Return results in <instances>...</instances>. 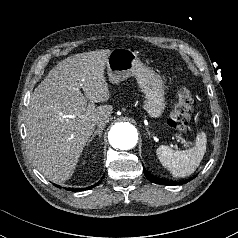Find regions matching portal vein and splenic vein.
I'll use <instances>...</instances> for the list:
<instances>
[{"instance_id":"18ae733b","label":"portal vein and splenic vein","mask_w":238,"mask_h":238,"mask_svg":"<svg viewBox=\"0 0 238 238\" xmlns=\"http://www.w3.org/2000/svg\"><path fill=\"white\" fill-rule=\"evenodd\" d=\"M94 108H95V106H94L93 103H91V104L88 105V110H89V111L93 110ZM69 117L72 118V116H69ZM177 139H178V140H182V142L184 143L185 146L188 145L187 142H186L185 140H183L182 138L178 137Z\"/></svg>"}]
</instances>
